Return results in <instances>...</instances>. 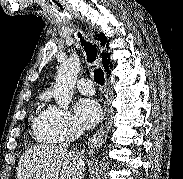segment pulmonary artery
<instances>
[{"label": "pulmonary artery", "instance_id": "1", "mask_svg": "<svg viewBox=\"0 0 183 179\" xmlns=\"http://www.w3.org/2000/svg\"><path fill=\"white\" fill-rule=\"evenodd\" d=\"M78 90L85 95L94 94V85L93 82L88 78H80L77 81Z\"/></svg>", "mask_w": 183, "mask_h": 179}]
</instances>
